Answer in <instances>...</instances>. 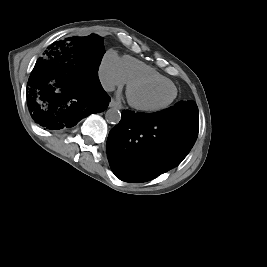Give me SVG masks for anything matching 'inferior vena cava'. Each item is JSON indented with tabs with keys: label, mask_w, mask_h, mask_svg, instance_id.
<instances>
[{
	"label": "inferior vena cava",
	"mask_w": 267,
	"mask_h": 267,
	"mask_svg": "<svg viewBox=\"0 0 267 267\" xmlns=\"http://www.w3.org/2000/svg\"><path fill=\"white\" fill-rule=\"evenodd\" d=\"M101 84L105 91L111 92L115 89V85L111 81H108L104 78H101Z\"/></svg>",
	"instance_id": "obj_1"
}]
</instances>
